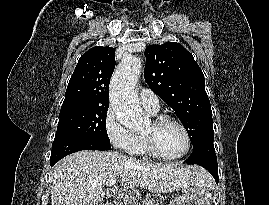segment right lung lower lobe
Wrapping results in <instances>:
<instances>
[{"label":"right lung lower lobe","mask_w":269,"mask_h":205,"mask_svg":"<svg viewBox=\"0 0 269 205\" xmlns=\"http://www.w3.org/2000/svg\"><path fill=\"white\" fill-rule=\"evenodd\" d=\"M111 146L93 139H85L80 137H69L54 140L52 143V152L50 157V165H54L63 157L80 151V150H109Z\"/></svg>","instance_id":"1"}]
</instances>
